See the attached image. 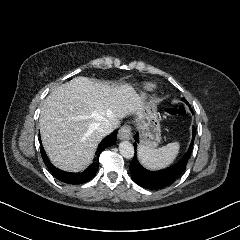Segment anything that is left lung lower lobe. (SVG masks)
Masks as SVG:
<instances>
[{
    "mask_svg": "<svg viewBox=\"0 0 240 240\" xmlns=\"http://www.w3.org/2000/svg\"><path fill=\"white\" fill-rule=\"evenodd\" d=\"M194 137L195 129H193L192 142L184 157L178 163L161 171L155 172L145 169L140 165V163L137 160V157L135 156L132 159L129 167L133 181L140 185L141 187L152 190L161 189L173 183L186 167L187 161L191 155ZM134 138H135L134 148L136 152L137 143L139 142L138 133H136Z\"/></svg>",
    "mask_w": 240,
    "mask_h": 240,
    "instance_id": "0a47b994",
    "label": "left lung lower lobe"
}]
</instances>
